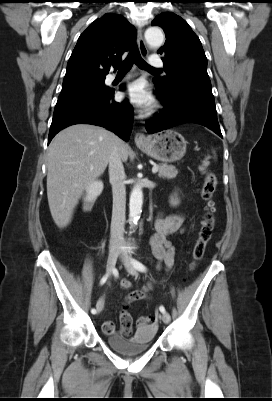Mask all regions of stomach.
<instances>
[{"instance_id":"0dacf381","label":"stomach","mask_w":272,"mask_h":401,"mask_svg":"<svg viewBox=\"0 0 272 401\" xmlns=\"http://www.w3.org/2000/svg\"><path fill=\"white\" fill-rule=\"evenodd\" d=\"M187 141L175 130H166L148 138L139 148L148 156L162 162H174L186 153Z\"/></svg>"}]
</instances>
